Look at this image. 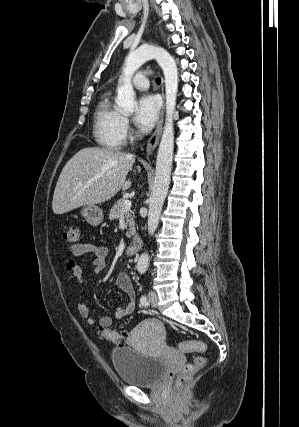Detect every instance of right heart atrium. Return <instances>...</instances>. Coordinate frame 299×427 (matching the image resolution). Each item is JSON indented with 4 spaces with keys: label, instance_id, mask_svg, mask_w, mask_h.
Instances as JSON below:
<instances>
[{
    "label": "right heart atrium",
    "instance_id": "right-heart-atrium-1",
    "mask_svg": "<svg viewBox=\"0 0 299 427\" xmlns=\"http://www.w3.org/2000/svg\"><path fill=\"white\" fill-rule=\"evenodd\" d=\"M122 129H123L125 138L131 135L132 129H131L129 120L126 117H123Z\"/></svg>",
    "mask_w": 299,
    "mask_h": 427
}]
</instances>
